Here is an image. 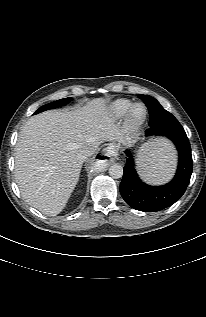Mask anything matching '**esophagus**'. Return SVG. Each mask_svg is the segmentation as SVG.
<instances>
[{
  "mask_svg": "<svg viewBox=\"0 0 206 317\" xmlns=\"http://www.w3.org/2000/svg\"><path fill=\"white\" fill-rule=\"evenodd\" d=\"M118 153V148L113 145L106 147L101 153L96 156V163L109 164L114 161L113 156Z\"/></svg>",
  "mask_w": 206,
  "mask_h": 317,
  "instance_id": "esophagus-1",
  "label": "esophagus"
}]
</instances>
